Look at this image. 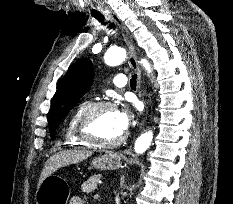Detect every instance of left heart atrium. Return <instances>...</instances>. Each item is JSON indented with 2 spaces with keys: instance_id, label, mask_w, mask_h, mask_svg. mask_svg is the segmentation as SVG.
Segmentation results:
<instances>
[{
  "instance_id": "39dd6f15",
  "label": "left heart atrium",
  "mask_w": 233,
  "mask_h": 204,
  "mask_svg": "<svg viewBox=\"0 0 233 204\" xmlns=\"http://www.w3.org/2000/svg\"><path fill=\"white\" fill-rule=\"evenodd\" d=\"M116 120L120 130L124 133L131 122L130 113L124 109L116 110Z\"/></svg>"
}]
</instances>
